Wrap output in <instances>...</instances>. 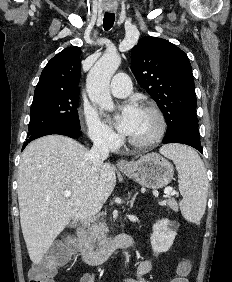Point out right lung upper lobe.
Masks as SVG:
<instances>
[{
	"mask_svg": "<svg viewBox=\"0 0 232 282\" xmlns=\"http://www.w3.org/2000/svg\"><path fill=\"white\" fill-rule=\"evenodd\" d=\"M80 53L81 49L74 46L53 57L43 69L34 93H79Z\"/></svg>",
	"mask_w": 232,
	"mask_h": 282,
	"instance_id": "cb5924a9",
	"label": "right lung upper lobe"
}]
</instances>
